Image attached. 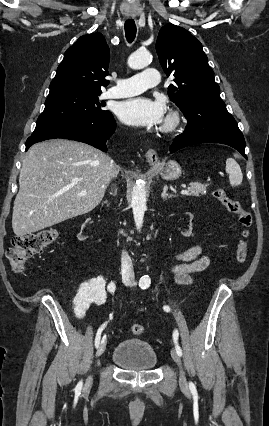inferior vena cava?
Here are the masks:
<instances>
[{
  "label": "inferior vena cava",
  "mask_w": 269,
  "mask_h": 426,
  "mask_svg": "<svg viewBox=\"0 0 269 426\" xmlns=\"http://www.w3.org/2000/svg\"><path fill=\"white\" fill-rule=\"evenodd\" d=\"M121 267H122V275H132L133 274L132 261H131V258L129 257V255L126 252L122 253Z\"/></svg>",
  "instance_id": "1"
}]
</instances>
